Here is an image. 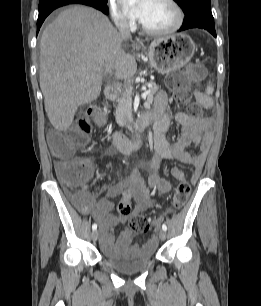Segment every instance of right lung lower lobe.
<instances>
[{
    "instance_id": "obj_1",
    "label": "right lung lower lobe",
    "mask_w": 261,
    "mask_h": 306,
    "mask_svg": "<svg viewBox=\"0 0 261 306\" xmlns=\"http://www.w3.org/2000/svg\"><path fill=\"white\" fill-rule=\"evenodd\" d=\"M85 4L92 6L105 14L109 13L106 5L94 2L92 0H40L39 2V16L37 20V33L44 22L45 18L56 8L67 5V4Z\"/></svg>"
}]
</instances>
